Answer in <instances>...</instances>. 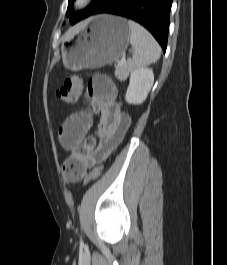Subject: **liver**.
I'll return each mask as SVG.
<instances>
[{
    "mask_svg": "<svg viewBox=\"0 0 227 265\" xmlns=\"http://www.w3.org/2000/svg\"><path fill=\"white\" fill-rule=\"evenodd\" d=\"M83 27V25H79L73 29H71L70 31H68L65 35H64V40H70L75 33H77L81 28Z\"/></svg>",
    "mask_w": 227,
    "mask_h": 265,
    "instance_id": "liver-1",
    "label": "liver"
}]
</instances>
